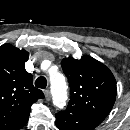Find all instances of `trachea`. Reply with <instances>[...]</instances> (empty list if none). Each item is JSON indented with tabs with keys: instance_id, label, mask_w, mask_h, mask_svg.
Masks as SVG:
<instances>
[{
	"instance_id": "trachea-1",
	"label": "trachea",
	"mask_w": 130,
	"mask_h": 130,
	"mask_svg": "<svg viewBox=\"0 0 130 130\" xmlns=\"http://www.w3.org/2000/svg\"><path fill=\"white\" fill-rule=\"evenodd\" d=\"M35 86L37 88H41V89H45L46 86H47V80L45 77L41 76V77H38L35 81Z\"/></svg>"
}]
</instances>
